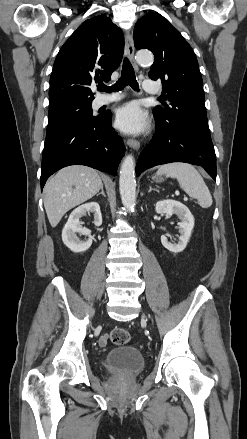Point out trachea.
Masks as SVG:
<instances>
[{"mask_svg":"<svg viewBox=\"0 0 247 439\" xmlns=\"http://www.w3.org/2000/svg\"><path fill=\"white\" fill-rule=\"evenodd\" d=\"M127 85L131 86L135 91L139 89L134 69L129 60L125 58L123 61L121 77L118 79V81L114 85L109 87L105 85H100L98 87V90L105 92L120 91L124 89Z\"/></svg>","mask_w":247,"mask_h":439,"instance_id":"obj_1","label":"trachea"}]
</instances>
